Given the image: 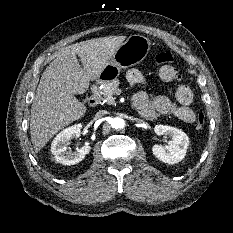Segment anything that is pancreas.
Listing matches in <instances>:
<instances>
[{
	"instance_id": "pancreas-1",
	"label": "pancreas",
	"mask_w": 233,
	"mask_h": 233,
	"mask_svg": "<svg viewBox=\"0 0 233 233\" xmlns=\"http://www.w3.org/2000/svg\"><path fill=\"white\" fill-rule=\"evenodd\" d=\"M119 84L120 82L118 79L105 82V85L101 91V99H107L109 100V103H113V95H119L121 93V89L118 87Z\"/></svg>"
}]
</instances>
